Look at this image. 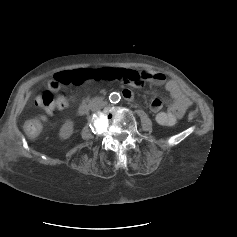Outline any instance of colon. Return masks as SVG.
<instances>
[{"mask_svg":"<svg viewBox=\"0 0 237 237\" xmlns=\"http://www.w3.org/2000/svg\"><path fill=\"white\" fill-rule=\"evenodd\" d=\"M101 80L140 86L144 76L142 71L124 68L77 69L59 72L55 74L53 81L49 84V89L42 94L40 104L45 113L51 114L56 108L66 107L65 98L59 95L63 86L82 85L87 81ZM45 121L44 115L26 120L24 130L27 136L33 139L37 138L43 131ZM156 121L162 126H172L175 123L174 117L168 112H159L156 115Z\"/></svg>","mask_w":237,"mask_h":237,"instance_id":"obj_1","label":"colon"}]
</instances>
